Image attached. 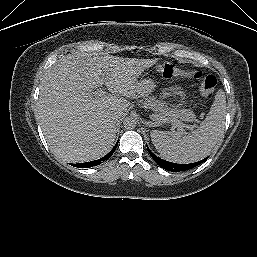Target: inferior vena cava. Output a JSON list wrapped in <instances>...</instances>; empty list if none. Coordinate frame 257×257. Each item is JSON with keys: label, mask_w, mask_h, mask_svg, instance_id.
Returning <instances> with one entry per match:
<instances>
[{"label": "inferior vena cava", "mask_w": 257, "mask_h": 257, "mask_svg": "<svg viewBox=\"0 0 257 257\" xmlns=\"http://www.w3.org/2000/svg\"><path fill=\"white\" fill-rule=\"evenodd\" d=\"M111 118L114 122H117L121 119V115L118 113H114V114H112Z\"/></svg>", "instance_id": "602c4592"}]
</instances>
